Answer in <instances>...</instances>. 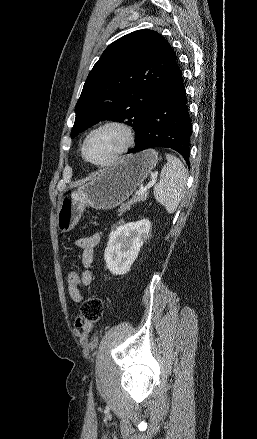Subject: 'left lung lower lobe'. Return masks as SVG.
I'll return each instance as SVG.
<instances>
[{
  "instance_id": "0a47b994",
  "label": "left lung lower lobe",
  "mask_w": 257,
  "mask_h": 439,
  "mask_svg": "<svg viewBox=\"0 0 257 439\" xmlns=\"http://www.w3.org/2000/svg\"><path fill=\"white\" fill-rule=\"evenodd\" d=\"M191 133L183 77L176 63L142 119L138 143L128 153L154 147L170 148L180 153L190 166Z\"/></svg>"
}]
</instances>
